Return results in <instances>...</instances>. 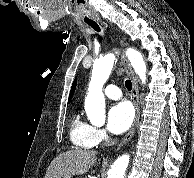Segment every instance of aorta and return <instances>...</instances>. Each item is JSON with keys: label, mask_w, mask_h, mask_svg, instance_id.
I'll return each mask as SVG.
<instances>
[{"label": "aorta", "mask_w": 194, "mask_h": 178, "mask_svg": "<svg viewBox=\"0 0 194 178\" xmlns=\"http://www.w3.org/2000/svg\"><path fill=\"white\" fill-rule=\"evenodd\" d=\"M126 55L142 84H145L147 69L141 53L129 48ZM114 62L115 55L110 53L93 65L88 93L85 98V111L92 124H102L105 121V97L102 89L112 71ZM129 159L127 154L118 157L109 170L107 178H124Z\"/></svg>", "instance_id": "1"}]
</instances>
